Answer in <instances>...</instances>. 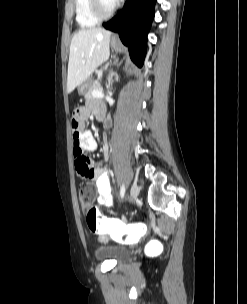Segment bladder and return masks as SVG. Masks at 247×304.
Returning a JSON list of instances; mask_svg holds the SVG:
<instances>
[{"label":"bladder","mask_w":247,"mask_h":304,"mask_svg":"<svg viewBox=\"0 0 247 304\" xmlns=\"http://www.w3.org/2000/svg\"><path fill=\"white\" fill-rule=\"evenodd\" d=\"M129 252L124 247L103 246L95 250V256L100 260L121 261L128 256Z\"/></svg>","instance_id":"1"}]
</instances>
